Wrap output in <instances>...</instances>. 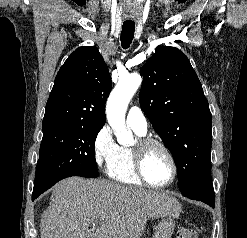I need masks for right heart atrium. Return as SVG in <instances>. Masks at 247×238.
Segmentation results:
<instances>
[{
  "mask_svg": "<svg viewBox=\"0 0 247 238\" xmlns=\"http://www.w3.org/2000/svg\"><path fill=\"white\" fill-rule=\"evenodd\" d=\"M117 146L110 127L107 124L103 125L97 131L93 141L94 161L99 168L108 165Z\"/></svg>",
  "mask_w": 247,
  "mask_h": 238,
  "instance_id": "right-heart-atrium-1",
  "label": "right heart atrium"
}]
</instances>
